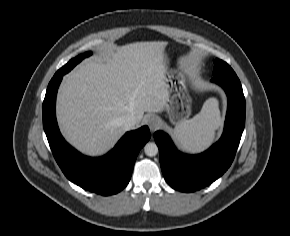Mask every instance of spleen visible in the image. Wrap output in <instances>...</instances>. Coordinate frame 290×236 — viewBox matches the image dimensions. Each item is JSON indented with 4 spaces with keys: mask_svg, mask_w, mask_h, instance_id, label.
I'll use <instances>...</instances> for the list:
<instances>
[{
    "mask_svg": "<svg viewBox=\"0 0 290 236\" xmlns=\"http://www.w3.org/2000/svg\"><path fill=\"white\" fill-rule=\"evenodd\" d=\"M221 122L218 101L209 98L197 115L176 125L174 134L183 148L201 151L212 143L215 130L220 127Z\"/></svg>",
    "mask_w": 290,
    "mask_h": 236,
    "instance_id": "spleen-1",
    "label": "spleen"
}]
</instances>
